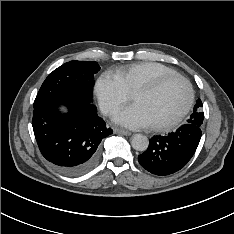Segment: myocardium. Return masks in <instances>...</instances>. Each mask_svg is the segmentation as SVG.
<instances>
[{
    "instance_id": "obj_1",
    "label": "myocardium",
    "mask_w": 234,
    "mask_h": 234,
    "mask_svg": "<svg viewBox=\"0 0 234 234\" xmlns=\"http://www.w3.org/2000/svg\"><path fill=\"white\" fill-rule=\"evenodd\" d=\"M174 80L181 81L186 86L187 94H188L186 104L183 107V109L179 112V114L176 117H174L173 119H171L167 122L161 123V124L151 125V128L155 131L170 130V129L174 128L175 126H177L186 117V115L189 113V111L193 105V102H194V90H193L192 84L190 83V81L187 78H185L184 76H181L179 74L167 75V76L161 77V78H159V79H157L149 84L140 86L134 92V95H136V94H151V93L158 91L164 85H166L167 83L174 81Z\"/></svg>"
}]
</instances>
